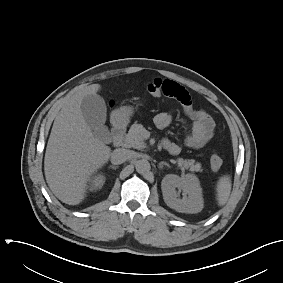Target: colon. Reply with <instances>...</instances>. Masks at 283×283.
<instances>
[{
  "mask_svg": "<svg viewBox=\"0 0 283 283\" xmlns=\"http://www.w3.org/2000/svg\"><path fill=\"white\" fill-rule=\"evenodd\" d=\"M146 90L147 92L154 96V97H160L162 95V80L161 79H155L153 81H150L146 84ZM223 160L220 155L213 154L210 158V165L213 171L220 170L222 166Z\"/></svg>",
  "mask_w": 283,
  "mask_h": 283,
  "instance_id": "1",
  "label": "colon"
}]
</instances>
